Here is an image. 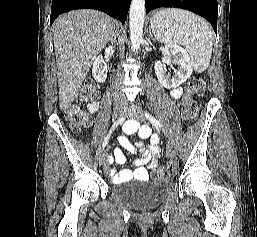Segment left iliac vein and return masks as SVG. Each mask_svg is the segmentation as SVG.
I'll return each mask as SVG.
<instances>
[{
	"label": "left iliac vein",
	"mask_w": 257,
	"mask_h": 237,
	"mask_svg": "<svg viewBox=\"0 0 257 237\" xmlns=\"http://www.w3.org/2000/svg\"><path fill=\"white\" fill-rule=\"evenodd\" d=\"M125 116L130 117V118H132L134 120H137V121H143L144 120L143 113L140 110H136V109L127 110L125 112ZM167 149H168V153L170 154V156H175L176 155V146L171 139H168Z\"/></svg>",
	"instance_id": "4c4485c4"
}]
</instances>
